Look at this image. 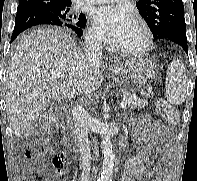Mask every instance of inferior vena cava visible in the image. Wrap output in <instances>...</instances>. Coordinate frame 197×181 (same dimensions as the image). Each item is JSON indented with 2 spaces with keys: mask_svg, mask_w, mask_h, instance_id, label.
<instances>
[{
  "mask_svg": "<svg viewBox=\"0 0 197 181\" xmlns=\"http://www.w3.org/2000/svg\"><path fill=\"white\" fill-rule=\"evenodd\" d=\"M84 56L90 64L101 62L102 58V36L96 31L89 32L85 35ZM72 117L74 121V133L77 146L80 151L81 159V181H90L91 170V151L88 140L90 129V116L84 109L82 103H77L72 109Z\"/></svg>",
  "mask_w": 197,
  "mask_h": 181,
  "instance_id": "602c4592",
  "label": "inferior vena cava"
}]
</instances>
